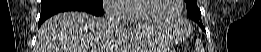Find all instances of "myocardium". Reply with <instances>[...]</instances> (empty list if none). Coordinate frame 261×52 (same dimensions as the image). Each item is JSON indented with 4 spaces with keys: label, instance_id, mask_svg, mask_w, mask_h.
I'll use <instances>...</instances> for the list:
<instances>
[{
    "label": "myocardium",
    "instance_id": "myocardium-1",
    "mask_svg": "<svg viewBox=\"0 0 261 52\" xmlns=\"http://www.w3.org/2000/svg\"><path fill=\"white\" fill-rule=\"evenodd\" d=\"M146 1H150V0H141V1H137V3H136L137 12H138L140 18L143 19L144 22L153 23V24H169V23L176 22L183 13L184 1L177 0L178 10H177V13L174 16H172L171 18L161 19V18H155L152 16H148L142 10L143 2H146Z\"/></svg>",
    "mask_w": 261,
    "mask_h": 52
}]
</instances>
